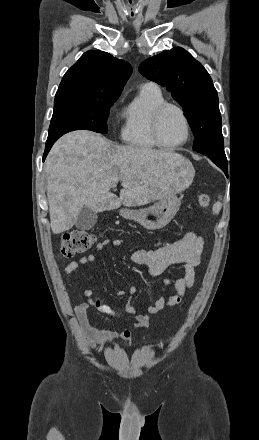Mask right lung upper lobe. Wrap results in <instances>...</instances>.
Segmentation results:
<instances>
[{
    "instance_id": "cb5924a9",
    "label": "right lung upper lobe",
    "mask_w": 259,
    "mask_h": 440,
    "mask_svg": "<svg viewBox=\"0 0 259 440\" xmlns=\"http://www.w3.org/2000/svg\"><path fill=\"white\" fill-rule=\"evenodd\" d=\"M132 68L109 53L90 50L65 73L55 97L118 98Z\"/></svg>"
}]
</instances>
